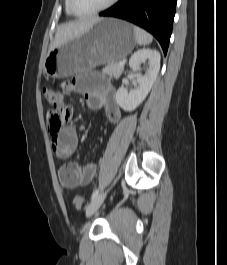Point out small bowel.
Returning <instances> with one entry per match:
<instances>
[{"label": "small bowel", "instance_id": "1", "mask_svg": "<svg viewBox=\"0 0 227 265\" xmlns=\"http://www.w3.org/2000/svg\"><path fill=\"white\" fill-rule=\"evenodd\" d=\"M64 85L70 91L83 94L90 109H104L111 123L121 120L122 113L115 98V90L104 77V72H80L79 77L68 84L64 82ZM77 143V133L72 127H65L51 137L53 153L61 160L73 156ZM96 170V165L92 163L80 165L74 161L67 162L59 170L60 183L69 190L86 185L94 179Z\"/></svg>", "mask_w": 227, "mask_h": 265}]
</instances>
